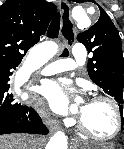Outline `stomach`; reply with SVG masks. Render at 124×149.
Returning <instances> with one entry per match:
<instances>
[{
	"instance_id": "0dacf381",
	"label": "stomach",
	"mask_w": 124,
	"mask_h": 149,
	"mask_svg": "<svg viewBox=\"0 0 124 149\" xmlns=\"http://www.w3.org/2000/svg\"><path fill=\"white\" fill-rule=\"evenodd\" d=\"M84 149H112V148L111 146H107V145H94L92 147L84 148Z\"/></svg>"
}]
</instances>
